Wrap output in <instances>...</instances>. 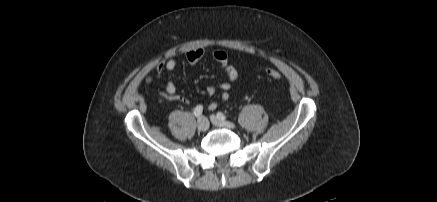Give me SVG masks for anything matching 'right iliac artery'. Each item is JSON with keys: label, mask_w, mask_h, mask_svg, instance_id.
I'll list each match as a JSON object with an SVG mask.
<instances>
[{"label": "right iliac artery", "mask_w": 437, "mask_h": 202, "mask_svg": "<svg viewBox=\"0 0 437 202\" xmlns=\"http://www.w3.org/2000/svg\"><path fill=\"white\" fill-rule=\"evenodd\" d=\"M202 112H203V106L202 105H198V106L195 107L193 113H194V115L196 117H200L202 115Z\"/></svg>", "instance_id": "1"}]
</instances>
